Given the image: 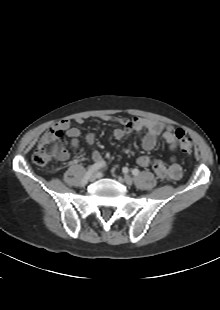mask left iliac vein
Instances as JSON below:
<instances>
[{
	"instance_id": "1",
	"label": "left iliac vein",
	"mask_w": 220,
	"mask_h": 310,
	"mask_svg": "<svg viewBox=\"0 0 220 310\" xmlns=\"http://www.w3.org/2000/svg\"><path fill=\"white\" fill-rule=\"evenodd\" d=\"M123 180L124 182L127 184V185H132L133 184V178L129 175H125L123 177Z\"/></svg>"
}]
</instances>
